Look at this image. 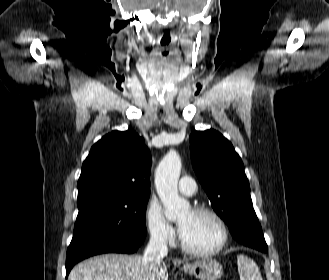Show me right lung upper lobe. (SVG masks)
<instances>
[{
    "mask_svg": "<svg viewBox=\"0 0 329 280\" xmlns=\"http://www.w3.org/2000/svg\"><path fill=\"white\" fill-rule=\"evenodd\" d=\"M151 156L143 138L131 129L112 131L95 145L83 162L78 200L150 194Z\"/></svg>",
    "mask_w": 329,
    "mask_h": 280,
    "instance_id": "right-lung-upper-lobe-1",
    "label": "right lung upper lobe"
}]
</instances>
